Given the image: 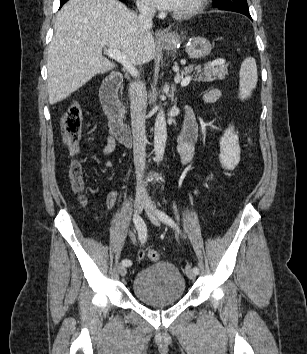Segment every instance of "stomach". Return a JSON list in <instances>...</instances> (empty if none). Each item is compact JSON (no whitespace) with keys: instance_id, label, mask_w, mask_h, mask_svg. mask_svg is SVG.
Returning a JSON list of instances; mask_svg holds the SVG:
<instances>
[{"instance_id":"obj_1","label":"stomach","mask_w":307,"mask_h":354,"mask_svg":"<svg viewBox=\"0 0 307 354\" xmlns=\"http://www.w3.org/2000/svg\"><path fill=\"white\" fill-rule=\"evenodd\" d=\"M183 43V37L178 33H168L164 39H158V44L166 50H177ZM211 43L204 37H192L186 46V53L190 58L201 59L209 55Z\"/></svg>"}]
</instances>
